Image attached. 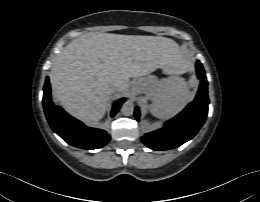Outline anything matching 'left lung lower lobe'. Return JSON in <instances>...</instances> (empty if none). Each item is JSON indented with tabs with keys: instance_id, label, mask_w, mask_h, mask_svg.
<instances>
[{
	"instance_id": "0a47b994",
	"label": "left lung lower lobe",
	"mask_w": 260,
	"mask_h": 202,
	"mask_svg": "<svg viewBox=\"0 0 260 202\" xmlns=\"http://www.w3.org/2000/svg\"><path fill=\"white\" fill-rule=\"evenodd\" d=\"M197 76L201 84L197 96L179 115L165 123L159 130L145 134L142 142L153 150H169L179 147L193 138L202 127L208 113L207 79L200 61L196 62ZM139 120V108H135Z\"/></svg>"
}]
</instances>
